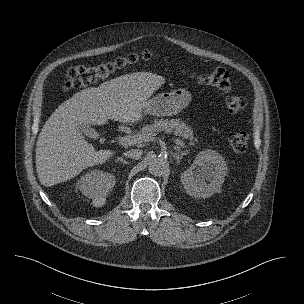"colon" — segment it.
Here are the masks:
<instances>
[{
	"mask_svg": "<svg viewBox=\"0 0 304 304\" xmlns=\"http://www.w3.org/2000/svg\"><path fill=\"white\" fill-rule=\"evenodd\" d=\"M153 53L144 51L140 54L132 53L113 61L101 63L94 66H76L70 68L63 77V88L65 90L76 89L102 81L116 71L137 63L139 60H149ZM193 77L202 84L215 87L223 92L231 88L230 73L223 67H218L204 73L194 74ZM246 106L244 97L228 94L225 98V107L229 113H237ZM248 135L243 131L231 132L228 135V143L237 153H243L247 149Z\"/></svg>",
	"mask_w": 304,
	"mask_h": 304,
	"instance_id": "5ec220e1",
	"label": "colon"
}]
</instances>
